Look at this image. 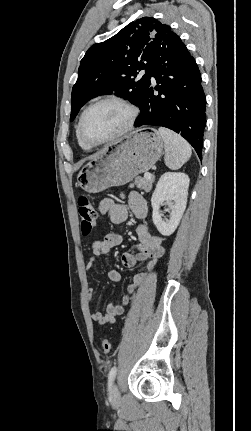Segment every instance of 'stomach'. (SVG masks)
Segmentation results:
<instances>
[{
    "label": "stomach",
    "mask_w": 251,
    "mask_h": 431,
    "mask_svg": "<svg viewBox=\"0 0 251 431\" xmlns=\"http://www.w3.org/2000/svg\"><path fill=\"white\" fill-rule=\"evenodd\" d=\"M164 142L152 128L135 130L106 146L79 171L78 185L89 193L121 186L147 172L161 157Z\"/></svg>",
    "instance_id": "1"
}]
</instances>
